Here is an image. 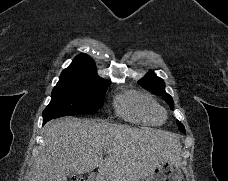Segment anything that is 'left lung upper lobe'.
<instances>
[{"label":"left lung upper lobe","mask_w":228,"mask_h":181,"mask_svg":"<svg viewBox=\"0 0 228 181\" xmlns=\"http://www.w3.org/2000/svg\"><path fill=\"white\" fill-rule=\"evenodd\" d=\"M138 84L156 95L165 93L164 81L161 78L156 77L153 72H149L145 77L138 81ZM163 98L170 105V108L173 109L174 102L172 100V97L169 94H164ZM177 125L179 130L182 133H185V128L183 124L177 121Z\"/></svg>","instance_id":"obj_1"}]
</instances>
